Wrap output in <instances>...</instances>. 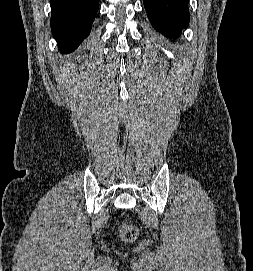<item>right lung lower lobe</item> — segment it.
Instances as JSON below:
<instances>
[{"label": "right lung lower lobe", "mask_w": 253, "mask_h": 271, "mask_svg": "<svg viewBox=\"0 0 253 271\" xmlns=\"http://www.w3.org/2000/svg\"><path fill=\"white\" fill-rule=\"evenodd\" d=\"M51 30L61 52L73 51L90 31L98 0H50Z\"/></svg>", "instance_id": "98d812e1"}]
</instances>
